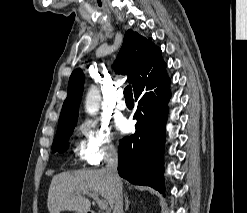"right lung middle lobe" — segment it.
<instances>
[{"label":"right lung middle lobe","mask_w":247,"mask_h":213,"mask_svg":"<svg viewBox=\"0 0 247 213\" xmlns=\"http://www.w3.org/2000/svg\"><path fill=\"white\" fill-rule=\"evenodd\" d=\"M74 129V125L72 126H65L57 129V133L55 139L52 144L53 152H64L67 150L68 147V140L71 136Z\"/></svg>","instance_id":"dd1d6c3e"}]
</instances>
